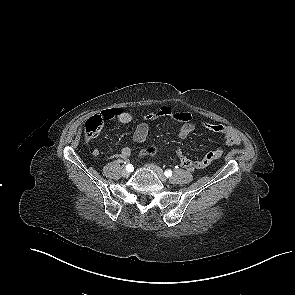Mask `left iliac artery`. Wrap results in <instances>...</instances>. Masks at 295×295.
Here are the masks:
<instances>
[{"mask_svg": "<svg viewBox=\"0 0 295 295\" xmlns=\"http://www.w3.org/2000/svg\"><path fill=\"white\" fill-rule=\"evenodd\" d=\"M164 175L168 178V177H171L172 176V171L171 170H166L164 172Z\"/></svg>", "mask_w": 295, "mask_h": 295, "instance_id": "left-iliac-artery-1", "label": "left iliac artery"}]
</instances>
